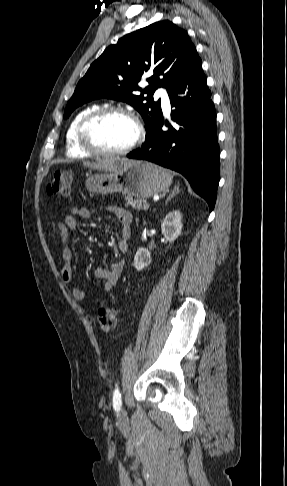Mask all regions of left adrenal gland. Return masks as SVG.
<instances>
[{
  "mask_svg": "<svg viewBox=\"0 0 287 486\" xmlns=\"http://www.w3.org/2000/svg\"><path fill=\"white\" fill-rule=\"evenodd\" d=\"M178 192H179V188H178V186H176L174 188V190L172 191V193L167 197L165 203L167 204L168 201H170Z\"/></svg>",
  "mask_w": 287,
  "mask_h": 486,
  "instance_id": "left-adrenal-gland-1",
  "label": "left adrenal gland"
}]
</instances>
